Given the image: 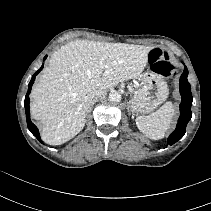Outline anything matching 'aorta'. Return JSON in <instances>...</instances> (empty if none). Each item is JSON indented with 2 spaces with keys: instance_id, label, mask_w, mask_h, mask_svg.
<instances>
[{
  "instance_id": "762f6f07",
  "label": "aorta",
  "mask_w": 211,
  "mask_h": 211,
  "mask_svg": "<svg viewBox=\"0 0 211 211\" xmlns=\"http://www.w3.org/2000/svg\"><path fill=\"white\" fill-rule=\"evenodd\" d=\"M109 99L112 102H120L121 101V95L117 91H112L109 93Z\"/></svg>"
}]
</instances>
